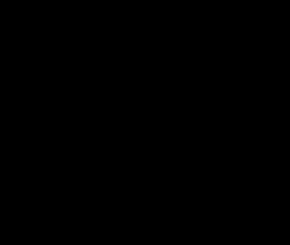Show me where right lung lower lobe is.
<instances>
[{"instance_id":"98d812e1","label":"right lung lower lobe","mask_w":290,"mask_h":245,"mask_svg":"<svg viewBox=\"0 0 290 245\" xmlns=\"http://www.w3.org/2000/svg\"><path fill=\"white\" fill-rule=\"evenodd\" d=\"M121 138L109 155L95 164L79 166L55 159L41 151L33 142L32 146L45 166L57 177L69 183L93 182L105 177L114 169L122 145Z\"/></svg>"}]
</instances>
